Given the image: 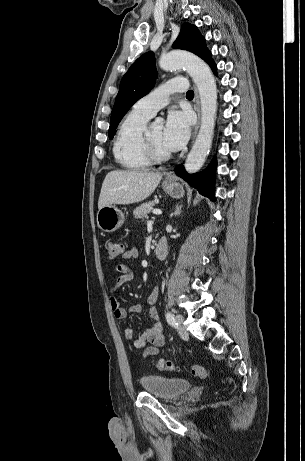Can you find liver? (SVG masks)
<instances>
[{
	"label": "liver",
	"instance_id": "1",
	"mask_svg": "<svg viewBox=\"0 0 305 461\" xmlns=\"http://www.w3.org/2000/svg\"><path fill=\"white\" fill-rule=\"evenodd\" d=\"M162 176L149 171L113 170L103 181L98 208L141 202L154 192Z\"/></svg>",
	"mask_w": 305,
	"mask_h": 461
}]
</instances>
